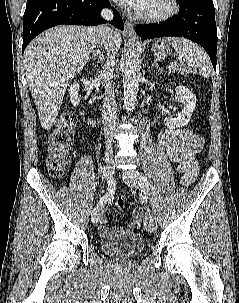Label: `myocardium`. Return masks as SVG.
Segmentation results:
<instances>
[{
    "label": "myocardium",
    "mask_w": 239,
    "mask_h": 303,
    "mask_svg": "<svg viewBox=\"0 0 239 303\" xmlns=\"http://www.w3.org/2000/svg\"><path fill=\"white\" fill-rule=\"evenodd\" d=\"M180 11L178 0H168V9L159 13H143L137 12L136 16L147 22H163L176 16Z\"/></svg>",
    "instance_id": "f54148a6"
}]
</instances>
